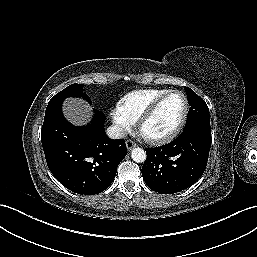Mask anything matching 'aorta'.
Segmentation results:
<instances>
[{
  "label": "aorta",
  "instance_id": "1",
  "mask_svg": "<svg viewBox=\"0 0 257 257\" xmlns=\"http://www.w3.org/2000/svg\"><path fill=\"white\" fill-rule=\"evenodd\" d=\"M131 158L137 163H142L146 160V152L141 148H134L131 152Z\"/></svg>",
  "mask_w": 257,
  "mask_h": 257
}]
</instances>
